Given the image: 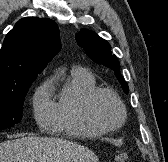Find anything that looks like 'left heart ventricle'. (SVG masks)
<instances>
[{
  "label": "left heart ventricle",
  "mask_w": 168,
  "mask_h": 162,
  "mask_svg": "<svg viewBox=\"0 0 168 162\" xmlns=\"http://www.w3.org/2000/svg\"><path fill=\"white\" fill-rule=\"evenodd\" d=\"M95 112L98 118L106 125H116L121 117L117 102L109 95H100L95 102Z\"/></svg>",
  "instance_id": "left-heart-ventricle-1"
}]
</instances>
